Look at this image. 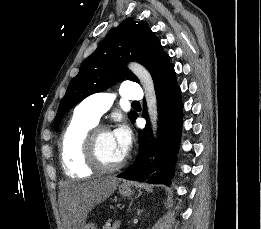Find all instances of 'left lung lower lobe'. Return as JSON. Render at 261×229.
<instances>
[{
  "label": "left lung lower lobe",
  "mask_w": 261,
  "mask_h": 229,
  "mask_svg": "<svg viewBox=\"0 0 261 229\" xmlns=\"http://www.w3.org/2000/svg\"><path fill=\"white\" fill-rule=\"evenodd\" d=\"M159 112V139L155 141L151 130L138 133L139 152L134 163L117 177L127 180L147 181L169 185L174 176V159L179 148L182 130V102L173 67L161 72L154 80ZM143 116L146 118L144 109ZM137 115L135 116V118ZM135 120V119H134ZM150 135H147V133ZM153 148L157 154L155 170L149 175L148 154ZM159 157H162L160 160Z\"/></svg>",
  "instance_id": "0a47b994"
}]
</instances>
